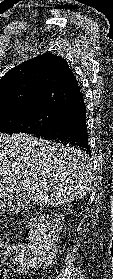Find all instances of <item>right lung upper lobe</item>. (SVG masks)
<instances>
[{
    "label": "right lung upper lobe",
    "instance_id": "1",
    "mask_svg": "<svg viewBox=\"0 0 113 279\" xmlns=\"http://www.w3.org/2000/svg\"><path fill=\"white\" fill-rule=\"evenodd\" d=\"M82 96L66 59L51 52L15 66L0 79V109L45 106L67 110Z\"/></svg>",
    "mask_w": 113,
    "mask_h": 279
}]
</instances>
